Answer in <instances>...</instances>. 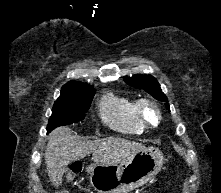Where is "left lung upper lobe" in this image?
I'll return each instance as SVG.
<instances>
[{"label":"left lung upper lobe","instance_id":"obj_1","mask_svg":"<svg viewBox=\"0 0 221 193\" xmlns=\"http://www.w3.org/2000/svg\"><path fill=\"white\" fill-rule=\"evenodd\" d=\"M124 81L135 88L143 89L154 98L160 101H167V97L160 89V85L157 80L151 75H134L130 77H124ZM169 110V105H166Z\"/></svg>","mask_w":221,"mask_h":193}]
</instances>
